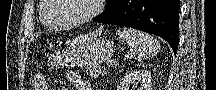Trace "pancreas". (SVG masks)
Segmentation results:
<instances>
[{
    "mask_svg": "<svg viewBox=\"0 0 216 90\" xmlns=\"http://www.w3.org/2000/svg\"><path fill=\"white\" fill-rule=\"evenodd\" d=\"M89 68L92 70H89V74L91 78H97L98 74H101L103 68L101 64H90Z\"/></svg>",
    "mask_w": 216,
    "mask_h": 90,
    "instance_id": "cf45deb5",
    "label": "pancreas"
}]
</instances>
